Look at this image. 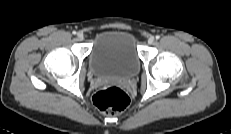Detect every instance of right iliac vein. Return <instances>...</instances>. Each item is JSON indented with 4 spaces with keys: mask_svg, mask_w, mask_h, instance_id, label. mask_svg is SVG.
Listing matches in <instances>:
<instances>
[{
    "mask_svg": "<svg viewBox=\"0 0 231 134\" xmlns=\"http://www.w3.org/2000/svg\"><path fill=\"white\" fill-rule=\"evenodd\" d=\"M77 39L79 41H82L84 39V36H83V34L81 32L77 33Z\"/></svg>",
    "mask_w": 231,
    "mask_h": 134,
    "instance_id": "obj_1",
    "label": "right iliac vein"
}]
</instances>
